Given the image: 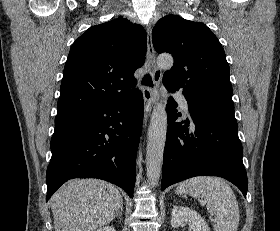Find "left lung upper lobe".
Listing matches in <instances>:
<instances>
[{"label": "left lung upper lobe", "instance_id": "1", "mask_svg": "<svg viewBox=\"0 0 280 231\" xmlns=\"http://www.w3.org/2000/svg\"><path fill=\"white\" fill-rule=\"evenodd\" d=\"M152 39L158 53L174 58L173 67L163 75L169 92L181 91L192 103L234 111L225 52L205 24L167 15L153 28Z\"/></svg>", "mask_w": 280, "mask_h": 231}]
</instances>
